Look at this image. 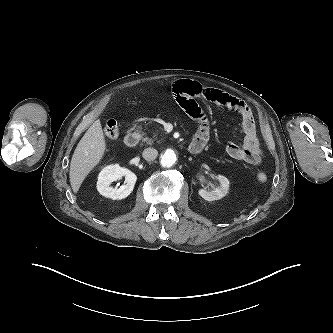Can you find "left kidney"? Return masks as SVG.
<instances>
[{
  "label": "left kidney",
  "instance_id": "obj_1",
  "mask_svg": "<svg viewBox=\"0 0 333 333\" xmlns=\"http://www.w3.org/2000/svg\"><path fill=\"white\" fill-rule=\"evenodd\" d=\"M220 183V186L217 188H214L210 191L200 189L198 191L199 195L207 200V201H214V200H219L222 199L226 194L228 193L229 189V180L223 176V175H218L216 177Z\"/></svg>",
  "mask_w": 333,
  "mask_h": 333
}]
</instances>
